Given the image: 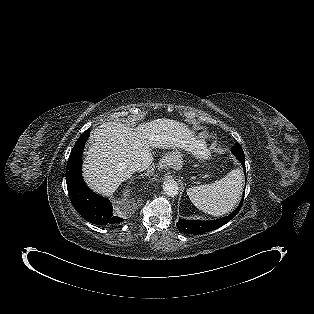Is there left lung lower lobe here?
Instances as JSON below:
<instances>
[{
  "mask_svg": "<svg viewBox=\"0 0 314 314\" xmlns=\"http://www.w3.org/2000/svg\"><path fill=\"white\" fill-rule=\"evenodd\" d=\"M241 164L243 165L244 171L246 173L245 168V157H237ZM243 199L241 200L240 205L238 208L232 212L230 215L219 219V220H213V221H195V220H184L179 219L177 223V229L181 232L187 233V234H202L205 232H209L215 229L220 228L224 224L228 223L232 218L235 217V215L239 212L241 205H242Z\"/></svg>",
  "mask_w": 314,
  "mask_h": 314,
  "instance_id": "0a47b994",
  "label": "left lung lower lobe"
}]
</instances>
